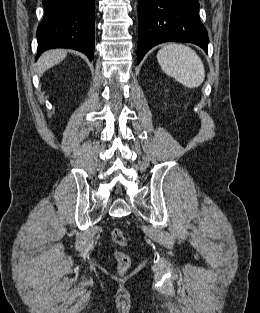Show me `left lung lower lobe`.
<instances>
[{"instance_id":"obj_1","label":"left lung lower lobe","mask_w":260,"mask_h":313,"mask_svg":"<svg viewBox=\"0 0 260 313\" xmlns=\"http://www.w3.org/2000/svg\"><path fill=\"white\" fill-rule=\"evenodd\" d=\"M198 12V0H139L137 64L163 42L194 43L207 52L208 33Z\"/></svg>"}]
</instances>
